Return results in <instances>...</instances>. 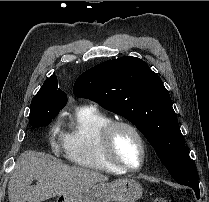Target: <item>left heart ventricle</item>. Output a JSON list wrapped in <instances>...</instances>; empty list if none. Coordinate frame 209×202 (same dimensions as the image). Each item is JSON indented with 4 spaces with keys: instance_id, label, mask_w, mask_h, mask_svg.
I'll use <instances>...</instances> for the list:
<instances>
[{
    "instance_id": "left-heart-ventricle-1",
    "label": "left heart ventricle",
    "mask_w": 209,
    "mask_h": 202,
    "mask_svg": "<svg viewBox=\"0 0 209 202\" xmlns=\"http://www.w3.org/2000/svg\"><path fill=\"white\" fill-rule=\"evenodd\" d=\"M112 149L114 155L122 162L138 166L141 162V146L136 136L127 129L116 130L112 138Z\"/></svg>"
}]
</instances>
